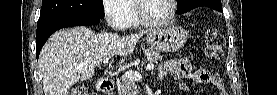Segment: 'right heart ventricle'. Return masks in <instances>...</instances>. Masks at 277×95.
I'll return each mask as SVG.
<instances>
[{"mask_svg":"<svg viewBox=\"0 0 277 95\" xmlns=\"http://www.w3.org/2000/svg\"><path fill=\"white\" fill-rule=\"evenodd\" d=\"M125 9L127 10V16L125 18L124 24L127 26H138L141 24L139 21L136 12L133 10V0H126L123 4Z\"/></svg>","mask_w":277,"mask_h":95,"instance_id":"1","label":"right heart ventricle"}]
</instances>
